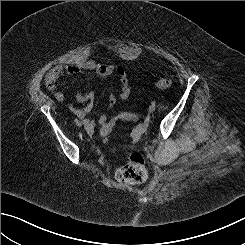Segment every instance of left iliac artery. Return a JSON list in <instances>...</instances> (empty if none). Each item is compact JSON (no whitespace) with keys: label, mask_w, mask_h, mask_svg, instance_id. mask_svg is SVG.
Returning a JSON list of instances; mask_svg holds the SVG:
<instances>
[{"label":"left iliac artery","mask_w":245,"mask_h":245,"mask_svg":"<svg viewBox=\"0 0 245 245\" xmlns=\"http://www.w3.org/2000/svg\"><path fill=\"white\" fill-rule=\"evenodd\" d=\"M151 104H152V105H155V104H156V102H155V101H153Z\"/></svg>","instance_id":"1"}]
</instances>
